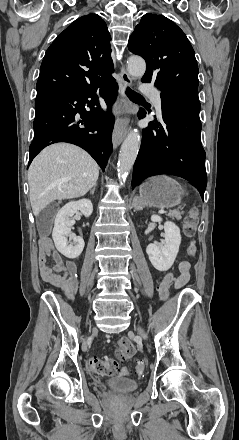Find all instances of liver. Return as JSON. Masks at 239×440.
<instances>
[{
	"instance_id": "obj_1",
	"label": "liver",
	"mask_w": 239,
	"mask_h": 440,
	"mask_svg": "<svg viewBox=\"0 0 239 440\" xmlns=\"http://www.w3.org/2000/svg\"><path fill=\"white\" fill-rule=\"evenodd\" d=\"M98 176V164L78 146H47L34 158L28 170L30 202L34 216H39L54 200H71L85 196L96 186Z\"/></svg>"
}]
</instances>
